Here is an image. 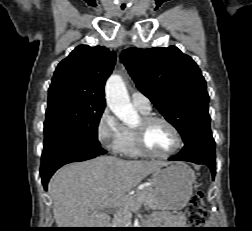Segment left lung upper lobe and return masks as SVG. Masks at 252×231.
<instances>
[{
  "label": "left lung upper lobe",
  "mask_w": 252,
  "mask_h": 231,
  "mask_svg": "<svg viewBox=\"0 0 252 231\" xmlns=\"http://www.w3.org/2000/svg\"><path fill=\"white\" fill-rule=\"evenodd\" d=\"M121 60L137 88L181 134L210 136L209 95L197 64L176 46L129 48Z\"/></svg>",
  "instance_id": "5c2ea615"
}]
</instances>
